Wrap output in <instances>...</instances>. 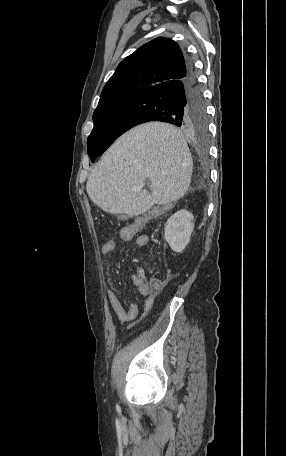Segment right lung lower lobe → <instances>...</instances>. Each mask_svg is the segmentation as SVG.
Returning a JSON list of instances; mask_svg holds the SVG:
<instances>
[{
	"mask_svg": "<svg viewBox=\"0 0 286 456\" xmlns=\"http://www.w3.org/2000/svg\"><path fill=\"white\" fill-rule=\"evenodd\" d=\"M186 63V73L181 78L134 95L140 107V124L162 121L191 132L206 119L205 104L193 64L190 60Z\"/></svg>",
	"mask_w": 286,
	"mask_h": 456,
	"instance_id": "98d812e1",
	"label": "right lung lower lobe"
}]
</instances>
